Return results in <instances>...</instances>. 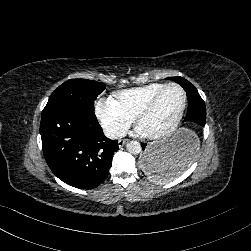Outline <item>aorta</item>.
Instances as JSON below:
<instances>
[{
  "label": "aorta",
  "instance_id": "1",
  "mask_svg": "<svg viewBox=\"0 0 251 251\" xmlns=\"http://www.w3.org/2000/svg\"><path fill=\"white\" fill-rule=\"evenodd\" d=\"M126 149L130 154H139L141 152V145L137 141H130L126 144Z\"/></svg>",
  "mask_w": 251,
  "mask_h": 251
}]
</instances>
